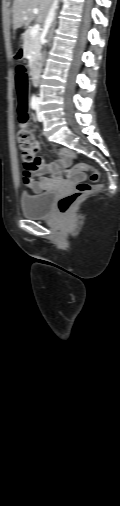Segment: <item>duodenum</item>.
Instances as JSON below:
<instances>
[{
	"instance_id": "obj_1",
	"label": "duodenum",
	"mask_w": 120,
	"mask_h": 506,
	"mask_svg": "<svg viewBox=\"0 0 120 506\" xmlns=\"http://www.w3.org/2000/svg\"><path fill=\"white\" fill-rule=\"evenodd\" d=\"M15 54H16L17 58H20V59L25 58L27 56L26 47L24 45H18L16 47ZM31 77H32L33 81H36L39 78V64H38V62H35L33 64Z\"/></svg>"
}]
</instances>
